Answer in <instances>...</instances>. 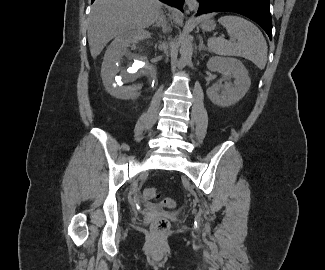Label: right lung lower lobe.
<instances>
[{
	"label": "right lung lower lobe",
	"instance_id": "obj_1",
	"mask_svg": "<svg viewBox=\"0 0 325 270\" xmlns=\"http://www.w3.org/2000/svg\"><path fill=\"white\" fill-rule=\"evenodd\" d=\"M160 1L167 3L170 6H174L180 9L181 11H183L184 0H160ZM92 2H94V0H92Z\"/></svg>",
	"mask_w": 325,
	"mask_h": 270
}]
</instances>
